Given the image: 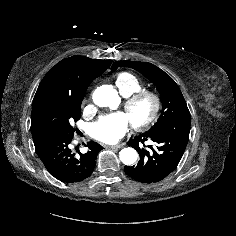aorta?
Returning <instances> with one entry per match:
<instances>
[{
    "instance_id": "obj_1",
    "label": "aorta",
    "mask_w": 236,
    "mask_h": 236,
    "mask_svg": "<svg viewBox=\"0 0 236 236\" xmlns=\"http://www.w3.org/2000/svg\"><path fill=\"white\" fill-rule=\"evenodd\" d=\"M93 101L100 107H112L119 102L118 92L111 86H103L93 93ZM120 160L125 165H132L136 162L138 154L135 149L124 148L119 153Z\"/></svg>"
}]
</instances>
